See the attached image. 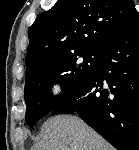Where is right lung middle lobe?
I'll return each instance as SVG.
<instances>
[{
    "label": "right lung middle lobe",
    "instance_id": "obj_1",
    "mask_svg": "<svg viewBox=\"0 0 139 150\" xmlns=\"http://www.w3.org/2000/svg\"><path fill=\"white\" fill-rule=\"evenodd\" d=\"M99 51H82L54 58L26 76V122L32 127L56 104L84 83L93 73ZM54 83L62 88L60 96L50 95Z\"/></svg>",
    "mask_w": 139,
    "mask_h": 150
}]
</instances>
